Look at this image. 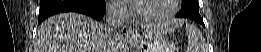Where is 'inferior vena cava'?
Returning a JSON list of instances; mask_svg holds the SVG:
<instances>
[{
	"label": "inferior vena cava",
	"mask_w": 261,
	"mask_h": 52,
	"mask_svg": "<svg viewBox=\"0 0 261 52\" xmlns=\"http://www.w3.org/2000/svg\"><path fill=\"white\" fill-rule=\"evenodd\" d=\"M126 7L120 2H113L106 7L105 36L108 39L114 37L116 29L124 24ZM120 46V45H119Z\"/></svg>",
	"instance_id": "602c4592"
}]
</instances>
